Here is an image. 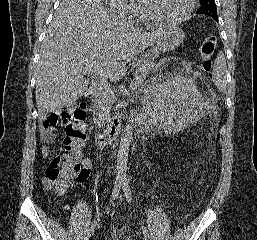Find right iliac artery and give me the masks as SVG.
<instances>
[{"label":"right iliac artery","mask_w":257,"mask_h":240,"mask_svg":"<svg viewBox=\"0 0 257 240\" xmlns=\"http://www.w3.org/2000/svg\"><path fill=\"white\" fill-rule=\"evenodd\" d=\"M120 187H121V182L119 180H116L115 181V185H114V188L112 190V194H111V197H110V200H109V205L106 206V210L109 209V206L111 205V203L114 202L115 198L118 196V193L120 191ZM102 216V213H99L95 220L93 221V223L91 224L90 228L87 230V232L85 233V236H84V240H89V237L91 236V233L92 231L94 230L95 228V225L97 224V222L99 221L100 217Z\"/></svg>","instance_id":"right-iliac-artery-1"}]
</instances>
